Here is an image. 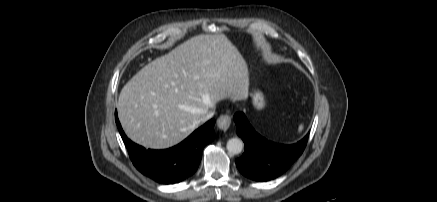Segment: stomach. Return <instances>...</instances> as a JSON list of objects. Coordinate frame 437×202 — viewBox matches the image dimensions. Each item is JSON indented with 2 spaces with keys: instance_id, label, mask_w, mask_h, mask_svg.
I'll list each match as a JSON object with an SVG mask.
<instances>
[{
  "instance_id": "stomach-1",
  "label": "stomach",
  "mask_w": 437,
  "mask_h": 202,
  "mask_svg": "<svg viewBox=\"0 0 437 202\" xmlns=\"http://www.w3.org/2000/svg\"><path fill=\"white\" fill-rule=\"evenodd\" d=\"M252 102L255 108L258 110L264 108L265 106V99L264 95L260 91H256L252 94Z\"/></svg>"
}]
</instances>
